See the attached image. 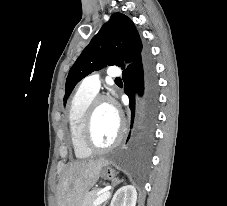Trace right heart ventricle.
<instances>
[{"instance_id": "1", "label": "right heart ventricle", "mask_w": 227, "mask_h": 206, "mask_svg": "<svg viewBox=\"0 0 227 206\" xmlns=\"http://www.w3.org/2000/svg\"><path fill=\"white\" fill-rule=\"evenodd\" d=\"M96 94L78 89L73 95L66 116L68 132L74 155L78 159L88 158L90 152L82 143L81 131L84 114Z\"/></svg>"}]
</instances>
